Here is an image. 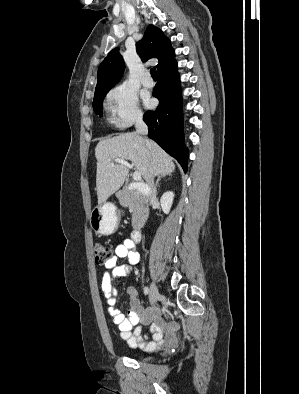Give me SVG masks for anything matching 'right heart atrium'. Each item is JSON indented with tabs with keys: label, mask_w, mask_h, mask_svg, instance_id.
<instances>
[{
	"label": "right heart atrium",
	"mask_w": 299,
	"mask_h": 394,
	"mask_svg": "<svg viewBox=\"0 0 299 394\" xmlns=\"http://www.w3.org/2000/svg\"><path fill=\"white\" fill-rule=\"evenodd\" d=\"M107 109L114 125L125 129L142 120L136 93L124 84L115 86L107 96Z\"/></svg>",
	"instance_id": "right-heart-atrium-1"
}]
</instances>
